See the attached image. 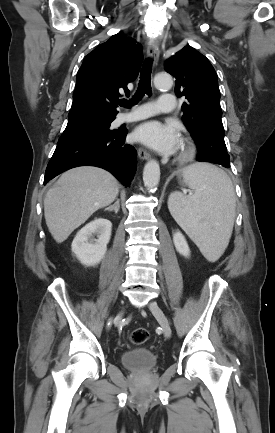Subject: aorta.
Segmentation results:
<instances>
[{
	"label": "aorta",
	"mask_w": 275,
	"mask_h": 433,
	"mask_svg": "<svg viewBox=\"0 0 275 433\" xmlns=\"http://www.w3.org/2000/svg\"><path fill=\"white\" fill-rule=\"evenodd\" d=\"M154 85L158 89H170L173 79L169 74H157L154 77ZM160 181V166L156 160H150L143 170V182L147 189H154Z\"/></svg>",
	"instance_id": "1"
}]
</instances>
